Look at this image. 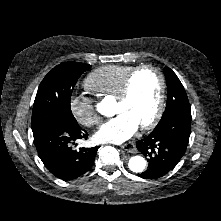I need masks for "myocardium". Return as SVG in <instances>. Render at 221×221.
I'll use <instances>...</instances> for the list:
<instances>
[{
    "instance_id": "obj_1",
    "label": "myocardium",
    "mask_w": 221,
    "mask_h": 221,
    "mask_svg": "<svg viewBox=\"0 0 221 221\" xmlns=\"http://www.w3.org/2000/svg\"><path fill=\"white\" fill-rule=\"evenodd\" d=\"M146 70L153 71L158 76L159 81H160V93H159V98H158V103H157V108H156L155 114L151 118L150 121L139 126L142 130H147V129L153 128L154 126L157 125V123L159 122V120L162 117V114L164 111V106H165V97H166V78H165L164 74L162 73V71L158 67L153 66V65H143V66L136 67L126 77V79L124 80L123 86L121 88V91L118 94V96L116 97L117 102H125L130 96L132 83H133L135 77L139 73L146 71Z\"/></svg>"
}]
</instances>
